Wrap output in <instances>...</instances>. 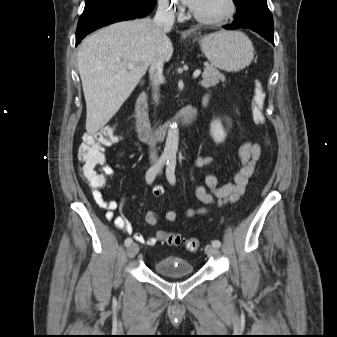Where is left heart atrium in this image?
<instances>
[{
  "mask_svg": "<svg viewBox=\"0 0 337 337\" xmlns=\"http://www.w3.org/2000/svg\"><path fill=\"white\" fill-rule=\"evenodd\" d=\"M182 1L192 9L196 8L200 2V0H182Z\"/></svg>",
  "mask_w": 337,
  "mask_h": 337,
  "instance_id": "left-heart-atrium-1",
  "label": "left heart atrium"
}]
</instances>
